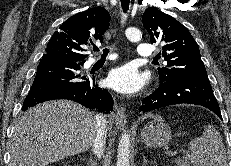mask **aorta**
Here are the masks:
<instances>
[{"label":"aorta","instance_id":"obj_1","mask_svg":"<svg viewBox=\"0 0 231 166\" xmlns=\"http://www.w3.org/2000/svg\"><path fill=\"white\" fill-rule=\"evenodd\" d=\"M125 35L131 42H138L142 38V33L137 28H127ZM130 136L123 133L118 145L116 166H130Z\"/></svg>","mask_w":231,"mask_h":166}]
</instances>
